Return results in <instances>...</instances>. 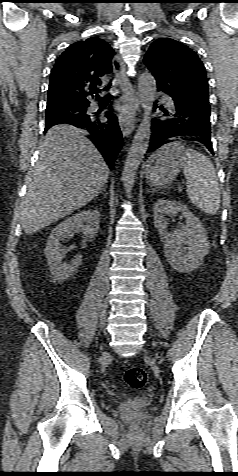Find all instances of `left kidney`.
Returning <instances> with one entry per match:
<instances>
[{
    "label": "left kidney",
    "mask_w": 238,
    "mask_h": 476,
    "mask_svg": "<svg viewBox=\"0 0 238 476\" xmlns=\"http://www.w3.org/2000/svg\"><path fill=\"white\" fill-rule=\"evenodd\" d=\"M181 213L186 223L173 232L167 231L165 214ZM154 225L164 244V254L173 269L189 273L198 268L208 254L210 244L206 231L186 205L181 202L158 199L153 208Z\"/></svg>",
    "instance_id": "1"
}]
</instances>
